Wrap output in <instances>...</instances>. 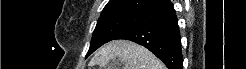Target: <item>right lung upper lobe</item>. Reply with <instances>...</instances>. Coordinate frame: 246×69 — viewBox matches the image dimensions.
<instances>
[{
    "instance_id": "right-lung-upper-lobe-1",
    "label": "right lung upper lobe",
    "mask_w": 246,
    "mask_h": 69,
    "mask_svg": "<svg viewBox=\"0 0 246 69\" xmlns=\"http://www.w3.org/2000/svg\"><path fill=\"white\" fill-rule=\"evenodd\" d=\"M169 0H110L103 9L100 18L120 15H142L147 10L163 5Z\"/></svg>"
}]
</instances>
